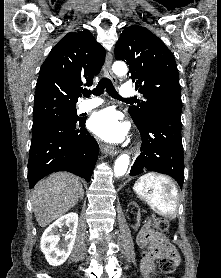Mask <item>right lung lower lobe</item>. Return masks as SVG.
I'll return each mask as SVG.
<instances>
[{
    "instance_id": "right-lung-lower-lobe-1",
    "label": "right lung lower lobe",
    "mask_w": 221,
    "mask_h": 278,
    "mask_svg": "<svg viewBox=\"0 0 221 278\" xmlns=\"http://www.w3.org/2000/svg\"><path fill=\"white\" fill-rule=\"evenodd\" d=\"M85 119L52 122L32 131L28 161L30 189L46 175L68 171L90 181L99 146L85 129Z\"/></svg>"
}]
</instances>
